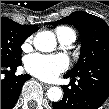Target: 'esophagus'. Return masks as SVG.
Listing matches in <instances>:
<instances>
[{
	"mask_svg": "<svg viewBox=\"0 0 109 109\" xmlns=\"http://www.w3.org/2000/svg\"><path fill=\"white\" fill-rule=\"evenodd\" d=\"M43 86H44V88H49V87H51V85H49V84H43Z\"/></svg>",
	"mask_w": 109,
	"mask_h": 109,
	"instance_id": "1",
	"label": "esophagus"
}]
</instances>
